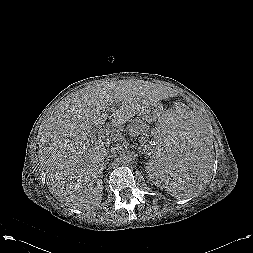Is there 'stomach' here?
<instances>
[{
	"label": "stomach",
	"instance_id": "0dacf381",
	"mask_svg": "<svg viewBox=\"0 0 253 253\" xmlns=\"http://www.w3.org/2000/svg\"><path fill=\"white\" fill-rule=\"evenodd\" d=\"M161 114L160 110H158L155 106H147L139 113V117L148 123L154 122V120Z\"/></svg>",
	"mask_w": 253,
	"mask_h": 253
}]
</instances>
